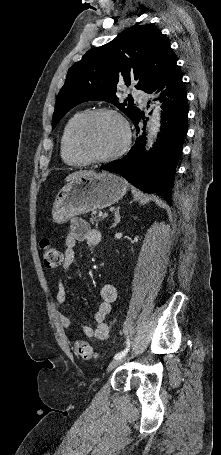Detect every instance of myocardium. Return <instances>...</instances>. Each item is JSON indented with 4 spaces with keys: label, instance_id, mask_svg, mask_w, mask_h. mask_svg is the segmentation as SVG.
I'll list each match as a JSON object with an SVG mask.
<instances>
[{
    "label": "myocardium",
    "instance_id": "obj_1",
    "mask_svg": "<svg viewBox=\"0 0 221 455\" xmlns=\"http://www.w3.org/2000/svg\"><path fill=\"white\" fill-rule=\"evenodd\" d=\"M100 115H111L116 117L120 123L122 124L123 130H124V142L122 145L113 153L102 156V157H94L91 156L86 152V150L83 148L81 144V133L86 125L87 122H89L91 119L100 116ZM72 141H73V147L75 151L80 155L87 163H107L110 161H113L120 156H122L129 148L131 141H132V132L130 125L127 121V119L116 109L113 108H108V107H101L97 109H93L90 111L85 112L76 122L74 128H73V133H72Z\"/></svg>",
    "mask_w": 221,
    "mask_h": 455
}]
</instances>
